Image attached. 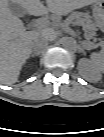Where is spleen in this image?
<instances>
[{"label": "spleen", "mask_w": 104, "mask_h": 137, "mask_svg": "<svg viewBox=\"0 0 104 137\" xmlns=\"http://www.w3.org/2000/svg\"><path fill=\"white\" fill-rule=\"evenodd\" d=\"M91 62L95 65L103 64V57L98 53L91 54Z\"/></svg>", "instance_id": "3e777b00"}]
</instances>
